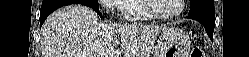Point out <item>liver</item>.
Here are the masks:
<instances>
[{"mask_svg":"<svg viewBox=\"0 0 249 57\" xmlns=\"http://www.w3.org/2000/svg\"><path fill=\"white\" fill-rule=\"evenodd\" d=\"M161 30L151 25L102 24L95 11L72 4L44 22L42 57H119L121 53L123 57H149Z\"/></svg>","mask_w":249,"mask_h":57,"instance_id":"obj_1","label":"liver"}]
</instances>
